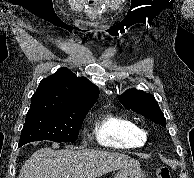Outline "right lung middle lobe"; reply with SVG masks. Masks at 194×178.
Returning a JSON list of instances; mask_svg holds the SVG:
<instances>
[{
  "label": "right lung middle lobe",
  "mask_w": 194,
  "mask_h": 178,
  "mask_svg": "<svg viewBox=\"0 0 194 178\" xmlns=\"http://www.w3.org/2000/svg\"><path fill=\"white\" fill-rule=\"evenodd\" d=\"M87 112L68 110L45 101L31 102L19 144L40 140L75 141Z\"/></svg>",
  "instance_id": "dd1d6c3e"
}]
</instances>
